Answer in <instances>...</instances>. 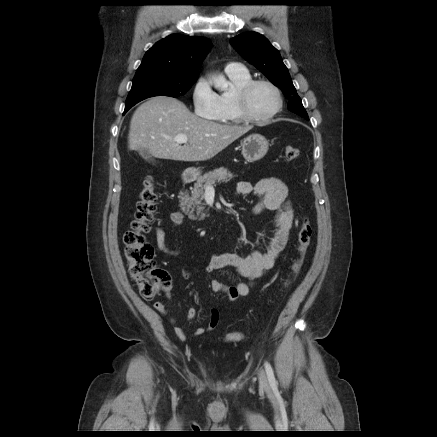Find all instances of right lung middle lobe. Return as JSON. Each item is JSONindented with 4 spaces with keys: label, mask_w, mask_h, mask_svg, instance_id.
<instances>
[{
    "label": "right lung middle lobe",
    "mask_w": 437,
    "mask_h": 437,
    "mask_svg": "<svg viewBox=\"0 0 437 437\" xmlns=\"http://www.w3.org/2000/svg\"><path fill=\"white\" fill-rule=\"evenodd\" d=\"M196 80L197 76L181 77L158 69L136 72L132 88L126 99L124 114L132 106L149 97L185 95Z\"/></svg>",
    "instance_id": "dd1d6c3e"
}]
</instances>
